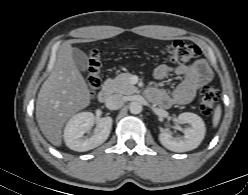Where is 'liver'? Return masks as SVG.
Masks as SVG:
<instances>
[{"instance_id":"6515ba94","label":"liver","mask_w":248,"mask_h":195,"mask_svg":"<svg viewBox=\"0 0 248 195\" xmlns=\"http://www.w3.org/2000/svg\"><path fill=\"white\" fill-rule=\"evenodd\" d=\"M69 41L59 49L53 69L42 84L36 102V120L46 139L62 144L67 120L90 104L91 94L72 56Z\"/></svg>"}]
</instances>
